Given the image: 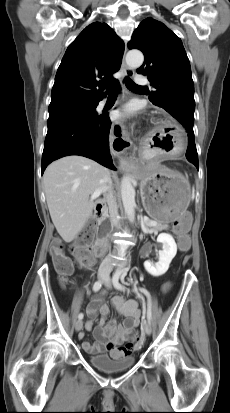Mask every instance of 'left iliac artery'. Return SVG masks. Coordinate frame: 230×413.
<instances>
[{
  "mask_svg": "<svg viewBox=\"0 0 230 413\" xmlns=\"http://www.w3.org/2000/svg\"><path fill=\"white\" fill-rule=\"evenodd\" d=\"M125 271H117L115 274H114V276H113V278H112V282H113V285H114V287L116 288V289H118V290H121V291H125V287L123 286V285H121L120 284V282H119V279L120 278H123L124 276H125ZM139 290L142 292V293H144V295L147 297V299H148V308H147V312H146V315H147V319H148V321L149 322H151V318H152V315H151V299H150V294H149V292L146 290V289H144V288H139ZM136 291H137V289H136Z\"/></svg>",
  "mask_w": 230,
  "mask_h": 413,
  "instance_id": "obj_1",
  "label": "left iliac artery"
}]
</instances>
